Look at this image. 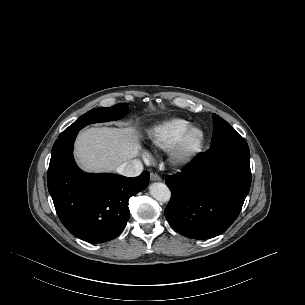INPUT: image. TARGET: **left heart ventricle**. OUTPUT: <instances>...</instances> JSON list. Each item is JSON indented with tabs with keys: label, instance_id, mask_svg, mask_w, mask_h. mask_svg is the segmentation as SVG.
<instances>
[{
	"label": "left heart ventricle",
	"instance_id": "obj_1",
	"mask_svg": "<svg viewBox=\"0 0 305 305\" xmlns=\"http://www.w3.org/2000/svg\"><path fill=\"white\" fill-rule=\"evenodd\" d=\"M198 138V135L197 133L193 134L192 138H191V141L194 143Z\"/></svg>",
	"mask_w": 305,
	"mask_h": 305
}]
</instances>
